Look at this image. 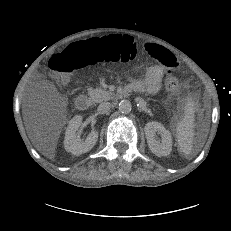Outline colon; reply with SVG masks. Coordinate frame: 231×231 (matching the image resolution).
Wrapping results in <instances>:
<instances>
[{"label":"colon","mask_w":231,"mask_h":231,"mask_svg":"<svg viewBox=\"0 0 231 231\" xmlns=\"http://www.w3.org/2000/svg\"><path fill=\"white\" fill-rule=\"evenodd\" d=\"M140 57L137 44L132 37L112 35L71 44L62 54L52 57L49 66L51 70L59 74L63 82H67L73 71L86 65L97 62L131 63L139 61ZM179 85L174 72L167 70L166 89L176 92Z\"/></svg>","instance_id":"obj_1"}]
</instances>
